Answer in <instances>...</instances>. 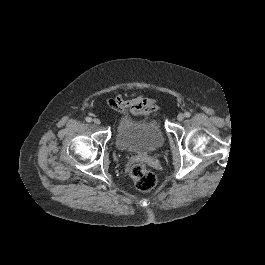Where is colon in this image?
<instances>
[{"mask_svg": "<svg viewBox=\"0 0 265 265\" xmlns=\"http://www.w3.org/2000/svg\"><path fill=\"white\" fill-rule=\"evenodd\" d=\"M130 176L135 187L140 191H150L157 183V178L143 163H136L131 171Z\"/></svg>", "mask_w": 265, "mask_h": 265, "instance_id": "colon-1", "label": "colon"}]
</instances>
